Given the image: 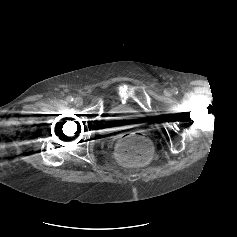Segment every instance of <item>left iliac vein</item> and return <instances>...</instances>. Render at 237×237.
<instances>
[{
  "instance_id": "4c4485c4",
  "label": "left iliac vein",
  "mask_w": 237,
  "mask_h": 237,
  "mask_svg": "<svg viewBox=\"0 0 237 237\" xmlns=\"http://www.w3.org/2000/svg\"><path fill=\"white\" fill-rule=\"evenodd\" d=\"M164 94H165L167 97H170L171 94H172V91H171L170 89H166V90L164 91Z\"/></svg>"
}]
</instances>
